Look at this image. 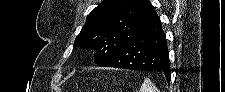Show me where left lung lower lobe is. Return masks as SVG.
<instances>
[{"label": "left lung lower lobe", "mask_w": 225, "mask_h": 92, "mask_svg": "<svg viewBox=\"0 0 225 92\" xmlns=\"http://www.w3.org/2000/svg\"><path fill=\"white\" fill-rule=\"evenodd\" d=\"M168 56L165 33L156 15L131 40L99 66L163 71L169 83L171 75Z\"/></svg>", "instance_id": "0a47b994"}]
</instances>
